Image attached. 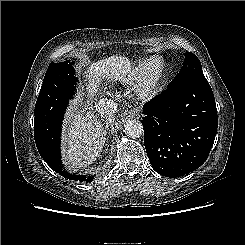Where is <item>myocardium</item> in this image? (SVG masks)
Masks as SVG:
<instances>
[{"label": "myocardium", "instance_id": "f54148a6", "mask_svg": "<svg viewBox=\"0 0 245 245\" xmlns=\"http://www.w3.org/2000/svg\"><path fill=\"white\" fill-rule=\"evenodd\" d=\"M166 69L167 65L164 59L150 58L136 88L137 95L141 100H151L159 93Z\"/></svg>", "mask_w": 245, "mask_h": 245}]
</instances>
